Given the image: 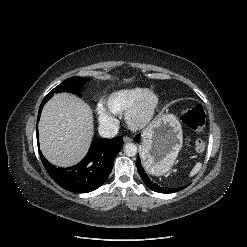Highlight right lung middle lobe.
<instances>
[{"instance_id":"dd1d6c3e","label":"right lung middle lobe","mask_w":247,"mask_h":247,"mask_svg":"<svg viewBox=\"0 0 247 247\" xmlns=\"http://www.w3.org/2000/svg\"><path fill=\"white\" fill-rule=\"evenodd\" d=\"M88 78H80V77H73L68 78L64 82H62L60 85L55 87L48 96H53L54 93H60V92H69L74 94H80L83 85L88 82Z\"/></svg>"}]
</instances>
